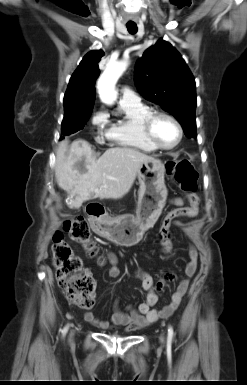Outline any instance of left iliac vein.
<instances>
[{"instance_id":"left-iliac-vein-1","label":"left iliac vein","mask_w":247,"mask_h":385,"mask_svg":"<svg viewBox=\"0 0 247 385\" xmlns=\"http://www.w3.org/2000/svg\"><path fill=\"white\" fill-rule=\"evenodd\" d=\"M160 341H161V342H163V341H164V338H163V336L160 338Z\"/></svg>"}]
</instances>
